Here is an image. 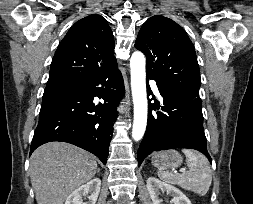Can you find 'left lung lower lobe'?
Wrapping results in <instances>:
<instances>
[{
  "label": "left lung lower lobe",
  "mask_w": 253,
  "mask_h": 204,
  "mask_svg": "<svg viewBox=\"0 0 253 204\" xmlns=\"http://www.w3.org/2000/svg\"><path fill=\"white\" fill-rule=\"evenodd\" d=\"M153 79L147 76V81ZM164 98L161 110L158 104L149 103L148 123L137 153L139 166L152 152L175 148H191L202 152L212 163L206 148L203 129L201 99L198 93L178 91L157 83ZM148 90L149 85H147Z\"/></svg>",
  "instance_id": "obj_1"
}]
</instances>
